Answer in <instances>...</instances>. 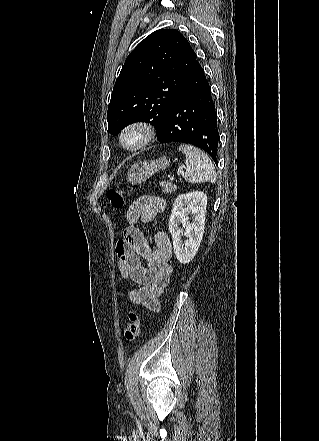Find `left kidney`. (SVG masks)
I'll use <instances>...</instances> for the list:
<instances>
[{
    "mask_svg": "<svg viewBox=\"0 0 319 441\" xmlns=\"http://www.w3.org/2000/svg\"><path fill=\"white\" fill-rule=\"evenodd\" d=\"M206 206L207 196L203 192L181 194L174 202L169 231L174 253L182 264L190 262L198 251L204 232ZM189 215L192 222H188ZM182 236H186V241L183 242Z\"/></svg>",
    "mask_w": 319,
    "mask_h": 441,
    "instance_id": "left-kidney-1",
    "label": "left kidney"
}]
</instances>
